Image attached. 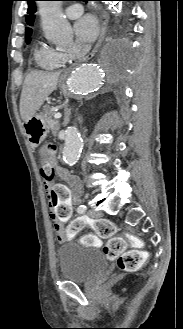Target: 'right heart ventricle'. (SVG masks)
<instances>
[{
	"label": "right heart ventricle",
	"mask_w": 183,
	"mask_h": 329,
	"mask_svg": "<svg viewBox=\"0 0 183 329\" xmlns=\"http://www.w3.org/2000/svg\"><path fill=\"white\" fill-rule=\"evenodd\" d=\"M66 60L64 54L46 44L40 45L34 52L35 63L45 69L53 70Z\"/></svg>",
	"instance_id": "e07e8e85"
}]
</instances>
